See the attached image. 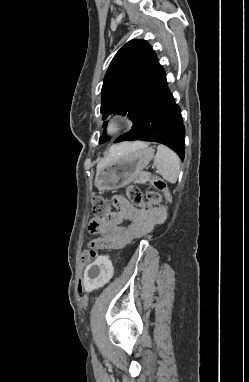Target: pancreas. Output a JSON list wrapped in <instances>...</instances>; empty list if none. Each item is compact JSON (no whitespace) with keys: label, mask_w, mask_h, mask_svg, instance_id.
Segmentation results:
<instances>
[{"label":"pancreas","mask_w":249,"mask_h":382,"mask_svg":"<svg viewBox=\"0 0 249 382\" xmlns=\"http://www.w3.org/2000/svg\"><path fill=\"white\" fill-rule=\"evenodd\" d=\"M148 178H149V175H141V176L137 177V178L134 180V183H141V182H144V181H146Z\"/></svg>","instance_id":"cf45deb5"}]
</instances>
